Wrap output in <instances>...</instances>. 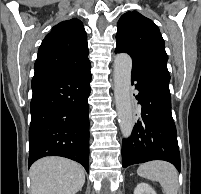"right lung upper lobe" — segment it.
<instances>
[{
  "instance_id": "1",
  "label": "right lung upper lobe",
  "mask_w": 201,
  "mask_h": 194,
  "mask_svg": "<svg viewBox=\"0 0 201 194\" xmlns=\"http://www.w3.org/2000/svg\"><path fill=\"white\" fill-rule=\"evenodd\" d=\"M87 34L78 19L62 21L42 41L34 65L36 76L73 75L91 67Z\"/></svg>"
}]
</instances>
